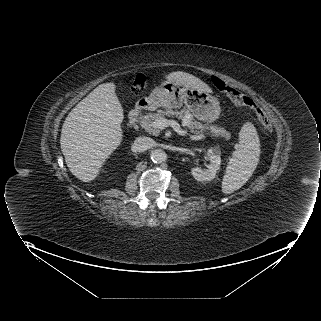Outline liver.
<instances>
[{
	"instance_id": "6515ba94",
	"label": "liver",
	"mask_w": 321,
	"mask_h": 321,
	"mask_svg": "<svg viewBox=\"0 0 321 321\" xmlns=\"http://www.w3.org/2000/svg\"><path fill=\"white\" fill-rule=\"evenodd\" d=\"M165 78L188 88L211 92L206 83L186 72H172ZM115 88L113 83L96 87L72 109L62 126L60 145L65 162L71 173L83 182L97 177L106 159L122 141L124 114Z\"/></svg>"
}]
</instances>
